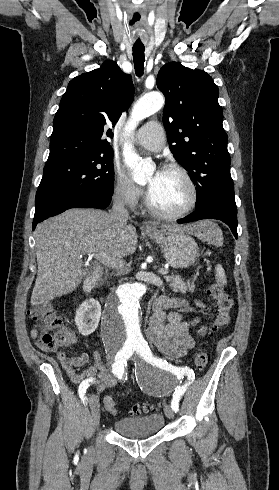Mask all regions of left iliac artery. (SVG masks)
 Masks as SVG:
<instances>
[{"mask_svg":"<svg viewBox=\"0 0 279 490\" xmlns=\"http://www.w3.org/2000/svg\"><path fill=\"white\" fill-rule=\"evenodd\" d=\"M140 348H141L143 354L145 355V357L147 358V360L149 362L159 366L160 368H163V369H166L170 372H173V373H175V375H183V374L187 375L189 382L186 383L182 387H178V389H176L174 394H173V399L171 402V408L174 412H177L179 410L180 397L186 391L187 386L190 385V383L193 382V380L195 379L194 371L188 367L178 368V367L172 366L171 364H168V362L166 360L157 359L156 357H154L152 355L151 350H150L148 343L146 341H144L143 343H140Z\"/></svg>","mask_w":279,"mask_h":490,"instance_id":"1","label":"left iliac artery"}]
</instances>
